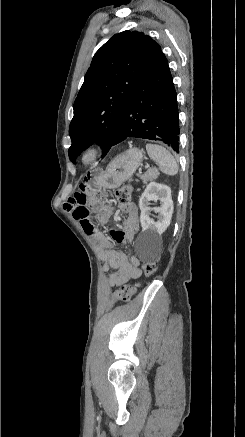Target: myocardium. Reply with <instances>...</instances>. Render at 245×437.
<instances>
[{
  "instance_id": "obj_1",
  "label": "myocardium",
  "mask_w": 245,
  "mask_h": 437,
  "mask_svg": "<svg viewBox=\"0 0 245 437\" xmlns=\"http://www.w3.org/2000/svg\"><path fill=\"white\" fill-rule=\"evenodd\" d=\"M99 154H100V148L97 145L95 144L89 145L86 148H84L81 152L80 155L81 162L84 165H91L96 161Z\"/></svg>"
}]
</instances>
